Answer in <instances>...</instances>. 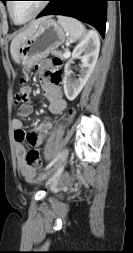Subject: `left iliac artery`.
I'll use <instances>...</instances> for the list:
<instances>
[{
  "mask_svg": "<svg viewBox=\"0 0 133 253\" xmlns=\"http://www.w3.org/2000/svg\"><path fill=\"white\" fill-rule=\"evenodd\" d=\"M59 157H60V154H58V156H57L55 159H53V160L46 166L45 169L47 170V169H49L50 167H52V166L58 161Z\"/></svg>",
  "mask_w": 133,
  "mask_h": 253,
  "instance_id": "left-iliac-artery-1",
  "label": "left iliac artery"
}]
</instances>
